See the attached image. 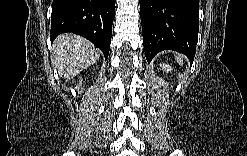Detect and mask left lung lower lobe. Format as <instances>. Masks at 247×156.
<instances>
[{
    "mask_svg": "<svg viewBox=\"0 0 247 156\" xmlns=\"http://www.w3.org/2000/svg\"><path fill=\"white\" fill-rule=\"evenodd\" d=\"M140 14L148 62L168 49L193 61L198 40V0H140Z\"/></svg>",
    "mask_w": 247,
    "mask_h": 156,
    "instance_id": "0a47b994",
    "label": "left lung lower lobe"
}]
</instances>
